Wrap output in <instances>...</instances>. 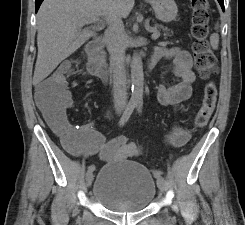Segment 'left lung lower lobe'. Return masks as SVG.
<instances>
[{
  "instance_id": "left-lung-lower-lobe-1",
  "label": "left lung lower lobe",
  "mask_w": 245,
  "mask_h": 225,
  "mask_svg": "<svg viewBox=\"0 0 245 225\" xmlns=\"http://www.w3.org/2000/svg\"><path fill=\"white\" fill-rule=\"evenodd\" d=\"M221 5L222 10L224 11V0H217Z\"/></svg>"
}]
</instances>
